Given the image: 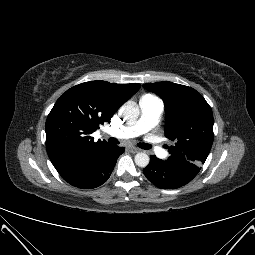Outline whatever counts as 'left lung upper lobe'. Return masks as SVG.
<instances>
[{"label": "left lung upper lobe", "mask_w": 255, "mask_h": 255, "mask_svg": "<svg viewBox=\"0 0 255 255\" xmlns=\"http://www.w3.org/2000/svg\"><path fill=\"white\" fill-rule=\"evenodd\" d=\"M164 101L165 136L175 145L165 163L198 173L213 143V114L203 96L191 87L172 82L144 84Z\"/></svg>", "instance_id": "left-lung-upper-lobe-1"}]
</instances>
